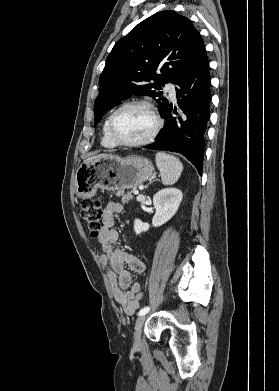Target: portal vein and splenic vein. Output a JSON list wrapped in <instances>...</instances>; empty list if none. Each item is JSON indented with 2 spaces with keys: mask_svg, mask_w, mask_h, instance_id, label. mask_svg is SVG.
<instances>
[{
  "mask_svg": "<svg viewBox=\"0 0 279 391\" xmlns=\"http://www.w3.org/2000/svg\"><path fill=\"white\" fill-rule=\"evenodd\" d=\"M134 194H135V195H138V194H139V191H138V190H135V191H134Z\"/></svg>",
  "mask_w": 279,
  "mask_h": 391,
  "instance_id": "obj_1",
  "label": "portal vein and splenic vein"
}]
</instances>
